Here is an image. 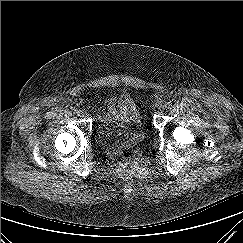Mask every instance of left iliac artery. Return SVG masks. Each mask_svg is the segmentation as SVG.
<instances>
[{
    "instance_id": "left-iliac-artery-1",
    "label": "left iliac artery",
    "mask_w": 243,
    "mask_h": 243,
    "mask_svg": "<svg viewBox=\"0 0 243 243\" xmlns=\"http://www.w3.org/2000/svg\"><path fill=\"white\" fill-rule=\"evenodd\" d=\"M166 107H169L170 106V102H166Z\"/></svg>"
}]
</instances>
